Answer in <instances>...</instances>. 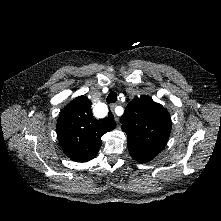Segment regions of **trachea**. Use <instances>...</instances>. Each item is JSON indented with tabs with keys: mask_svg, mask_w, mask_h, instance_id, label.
<instances>
[{
	"mask_svg": "<svg viewBox=\"0 0 221 221\" xmlns=\"http://www.w3.org/2000/svg\"><path fill=\"white\" fill-rule=\"evenodd\" d=\"M108 104L115 103L117 101V94L116 92L112 91L108 94L106 99Z\"/></svg>",
	"mask_w": 221,
	"mask_h": 221,
	"instance_id": "3493384b",
	"label": "trachea"
}]
</instances>
